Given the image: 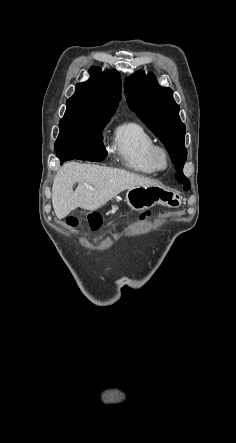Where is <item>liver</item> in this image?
Returning <instances> with one entry per match:
<instances>
[{
    "label": "liver",
    "mask_w": 236,
    "mask_h": 443,
    "mask_svg": "<svg viewBox=\"0 0 236 443\" xmlns=\"http://www.w3.org/2000/svg\"><path fill=\"white\" fill-rule=\"evenodd\" d=\"M76 182L78 186L73 191ZM156 185L157 182L149 178L125 170L70 162L55 176L52 204L57 218L63 219L78 207L95 211L126 189Z\"/></svg>",
    "instance_id": "liver-1"
}]
</instances>
